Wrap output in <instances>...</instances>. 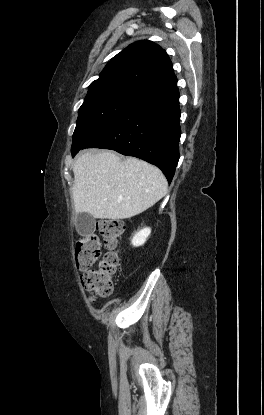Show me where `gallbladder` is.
<instances>
[{
  "label": "gallbladder",
  "mask_w": 264,
  "mask_h": 415,
  "mask_svg": "<svg viewBox=\"0 0 264 415\" xmlns=\"http://www.w3.org/2000/svg\"><path fill=\"white\" fill-rule=\"evenodd\" d=\"M94 218L88 213H78L76 228L80 235L88 236L93 232Z\"/></svg>",
  "instance_id": "obj_1"
}]
</instances>
